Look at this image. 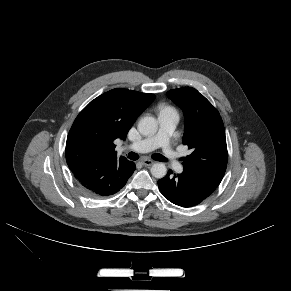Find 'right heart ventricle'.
Returning a JSON list of instances; mask_svg holds the SVG:
<instances>
[{"label":"right heart ventricle","instance_id":"e07e8e85","mask_svg":"<svg viewBox=\"0 0 291 291\" xmlns=\"http://www.w3.org/2000/svg\"><path fill=\"white\" fill-rule=\"evenodd\" d=\"M159 111H160V113H164V112H172L175 110L166 104H161V105H159Z\"/></svg>","mask_w":291,"mask_h":291}]
</instances>
